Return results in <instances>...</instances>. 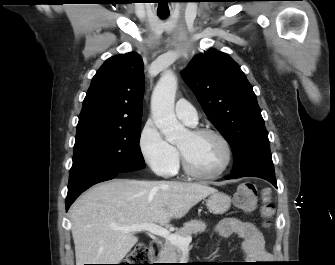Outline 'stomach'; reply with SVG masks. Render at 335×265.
I'll use <instances>...</instances> for the list:
<instances>
[{"label": "stomach", "mask_w": 335, "mask_h": 265, "mask_svg": "<svg viewBox=\"0 0 335 265\" xmlns=\"http://www.w3.org/2000/svg\"><path fill=\"white\" fill-rule=\"evenodd\" d=\"M208 210L216 215L227 212L231 206V197L223 192L216 191L206 200Z\"/></svg>", "instance_id": "1"}]
</instances>
